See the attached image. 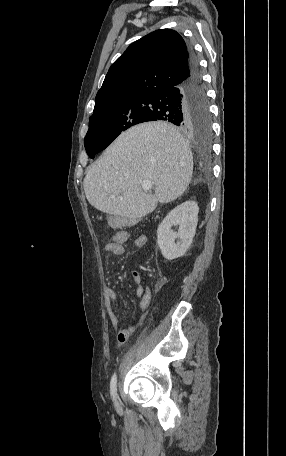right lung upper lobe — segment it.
<instances>
[{
	"label": "right lung upper lobe",
	"instance_id": "right-lung-upper-lobe-1",
	"mask_svg": "<svg viewBox=\"0 0 286 456\" xmlns=\"http://www.w3.org/2000/svg\"><path fill=\"white\" fill-rule=\"evenodd\" d=\"M189 48L174 30L154 31L132 43L111 65L96 95L94 111L112 102L185 80Z\"/></svg>",
	"mask_w": 286,
	"mask_h": 456
}]
</instances>
